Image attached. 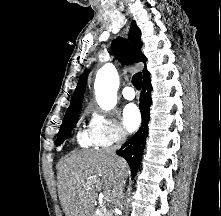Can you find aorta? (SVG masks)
<instances>
[{"label":"aorta","mask_w":221,"mask_h":216,"mask_svg":"<svg viewBox=\"0 0 221 216\" xmlns=\"http://www.w3.org/2000/svg\"><path fill=\"white\" fill-rule=\"evenodd\" d=\"M119 76L112 64H105L96 74L94 83L96 101L103 110H111L117 103Z\"/></svg>","instance_id":"1"}]
</instances>
